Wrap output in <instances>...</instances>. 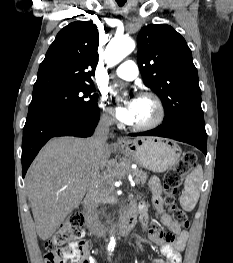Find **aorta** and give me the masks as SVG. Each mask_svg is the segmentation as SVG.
Wrapping results in <instances>:
<instances>
[{
    "instance_id": "762f6f07",
    "label": "aorta",
    "mask_w": 233,
    "mask_h": 263,
    "mask_svg": "<svg viewBox=\"0 0 233 263\" xmlns=\"http://www.w3.org/2000/svg\"><path fill=\"white\" fill-rule=\"evenodd\" d=\"M135 49V42L129 37H115L111 40L105 50V61L109 67H112L123 60ZM115 246L114 237L110 238L109 250Z\"/></svg>"
}]
</instances>
